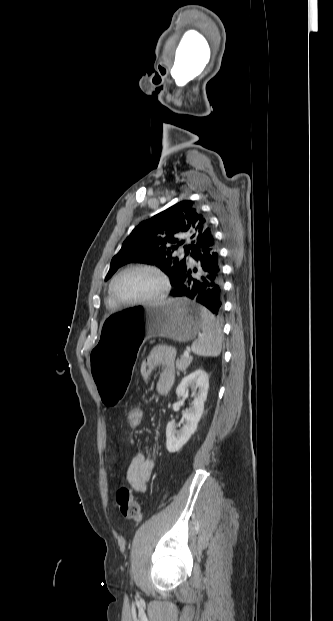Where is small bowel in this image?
Listing matches in <instances>:
<instances>
[{
  "mask_svg": "<svg viewBox=\"0 0 333 621\" xmlns=\"http://www.w3.org/2000/svg\"><path fill=\"white\" fill-rule=\"evenodd\" d=\"M175 351L166 347L153 348L142 362L141 374L148 379L152 372L160 367L161 372L156 384L159 395L168 393L175 380ZM155 467V460L150 455L136 454L127 469V480L132 488L140 493L146 491Z\"/></svg>",
  "mask_w": 333,
  "mask_h": 621,
  "instance_id": "small-bowel-1",
  "label": "small bowel"
}]
</instances>
